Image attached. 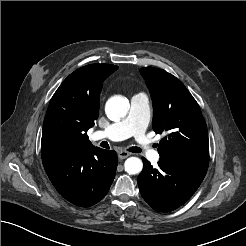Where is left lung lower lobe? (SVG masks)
Segmentation results:
<instances>
[{"label":"left lung lower lobe","mask_w":246,"mask_h":246,"mask_svg":"<svg viewBox=\"0 0 246 246\" xmlns=\"http://www.w3.org/2000/svg\"><path fill=\"white\" fill-rule=\"evenodd\" d=\"M138 185L144 200L155 210L170 212L189 200L208 169V162L177 157H160L159 168L142 159Z\"/></svg>","instance_id":"0a47b994"}]
</instances>
